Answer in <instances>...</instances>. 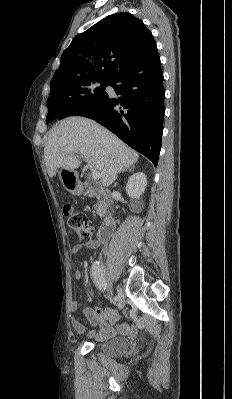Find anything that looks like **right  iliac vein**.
Wrapping results in <instances>:
<instances>
[{
    "label": "right iliac vein",
    "instance_id": "obj_1",
    "mask_svg": "<svg viewBox=\"0 0 232 399\" xmlns=\"http://www.w3.org/2000/svg\"><path fill=\"white\" fill-rule=\"evenodd\" d=\"M118 290V296H119V303L117 306L118 310H123L124 306L126 305V300H125V296L123 295V291H122V287H117Z\"/></svg>",
    "mask_w": 232,
    "mask_h": 399
}]
</instances>
